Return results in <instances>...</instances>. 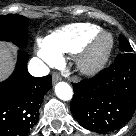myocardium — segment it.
Returning a JSON list of instances; mask_svg holds the SVG:
<instances>
[{
  "mask_svg": "<svg viewBox=\"0 0 136 136\" xmlns=\"http://www.w3.org/2000/svg\"><path fill=\"white\" fill-rule=\"evenodd\" d=\"M103 41H106V44L98 51ZM114 45V38L110 33L100 32L78 51L76 56L77 69L84 75L99 73L109 62Z\"/></svg>",
  "mask_w": 136,
  "mask_h": 136,
  "instance_id": "myocardium-1",
  "label": "myocardium"
}]
</instances>
